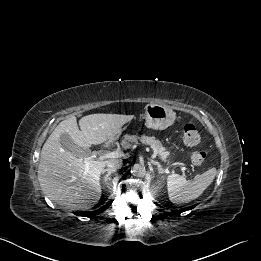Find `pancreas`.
I'll use <instances>...</instances> for the list:
<instances>
[{
  "label": "pancreas",
  "instance_id": "pancreas-1",
  "mask_svg": "<svg viewBox=\"0 0 261 261\" xmlns=\"http://www.w3.org/2000/svg\"><path fill=\"white\" fill-rule=\"evenodd\" d=\"M138 140L145 145H148L152 148L153 152L156 155H159L162 158H166L169 156L170 152L167 151L161 142L159 140H156L155 137H150V136H135V135H124L123 140L121 141V145L123 148L127 149L132 146V143L137 144Z\"/></svg>",
  "mask_w": 261,
  "mask_h": 261
}]
</instances>
